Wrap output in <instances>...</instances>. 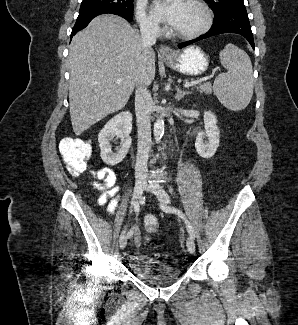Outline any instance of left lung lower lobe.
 Returning a JSON list of instances; mask_svg holds the SVG:
<instances>
[{
  "label": "left lung lower lobe",
  "mask_w": 298,
  "mask_h": 325,
  "mask_svg": "<svg viewBox=\"0 0 298 325\" xmlns=\"http://www.w3.org/2000/svg\"><path fill=\"white\" fill-rule=\"evenodd\" d=\"M237 33L244 36L254 49V39L245 6H236L224 11L214 18L211 29L203 36L178 44V48L186 47L202 39L222 34Z\"/></svg>",
  "instance_id": "obj_1"
}]
</instances>
